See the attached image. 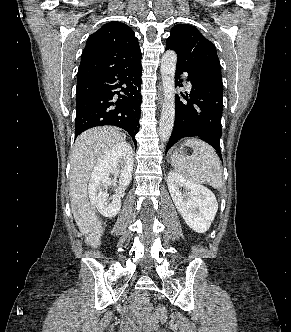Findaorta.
Segmentation results:
<instances>
[{
    "label": "aorta",
    "mask_w": 291,
    "mask_h": 332,
    "mask_svg": "<svg viewBox=\"0 0 291 332\" xmlns=\"http://www.w3.org/2000/svg\"><path fill=\"white\" fill-rule=\"evenodd\" d=\"M177 55L168 50L161 60V78L163 85V106L159 123L161 141L167 142L171 136L175 119V70Z\"/></svg>",
    "instance_id": "obj_1"
}]
</instances>
